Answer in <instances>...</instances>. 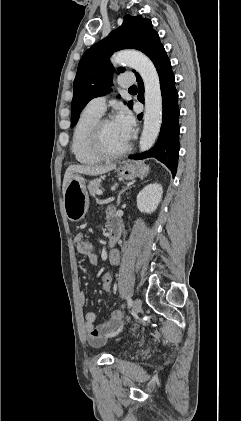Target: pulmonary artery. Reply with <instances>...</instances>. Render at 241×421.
Instances as JSON below:
<instances>
[{
  "instance_id": "pulmonary-artery-1",
  "label": "pulmonary artery",
  "mask_w": 241,
  "mask_h": 421,
  "mask_svg": "<svg viewBox=\"0 0 241 421\" xmlns=\"http://www.w3.org/2000/svg\"><path fill=\"white\" fill-rule=\"evenodd\" d=\"M134 82L135 80L132 76H122L119 79V85L122 88H128L133 85ZM87 107L102 115L106 108V97L100 96L93 98L89 101Z\"/></svg>"
}]
</instances>
